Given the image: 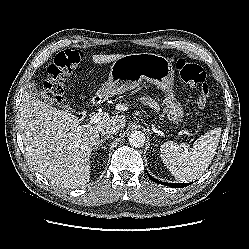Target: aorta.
<instances>
[{
    "label": "aorta",
    "instance_id": "762f6f07",
    "mask_svg": "<svg viewBox=\"0 0 249 249\" xmlns=\"http://www.w3.org/2000/svg\"><path fill=\"white\" fill-rule=\"evenodd\" d=\"M128 141L132 147L140 148L144 146L146 137L141 131H132L128 136Z\"/></svg>",
    "mask_w": 249,
    "mask_h": 249
}]
</instances>
